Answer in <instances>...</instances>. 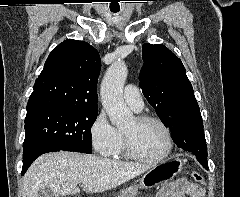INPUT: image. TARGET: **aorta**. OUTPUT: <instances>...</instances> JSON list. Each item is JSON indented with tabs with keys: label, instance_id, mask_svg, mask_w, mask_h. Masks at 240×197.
Instances as JSON below:
<instances>
[{
	"label": "aorta",
	"instance_id": "1",
	"mask_svg": "<svg viewBox=\"0 0 240 197\" xmlns=\"http://www.w3.org/2000/svg\"><path fill=\"white\" fill-rule=\"evenodd\" d=\"M127 67L124 62L111 64L101 83V101L111 123L123 128L133 119V113L123 100V86L127 78Z\"/></svg>",
	"mask_w": 240,
	"mask_h": 197
}]
</instances>
